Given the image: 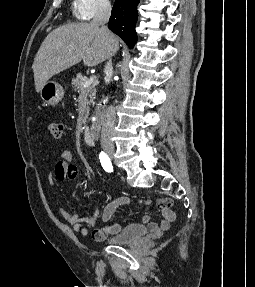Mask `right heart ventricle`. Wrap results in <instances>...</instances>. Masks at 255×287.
<instances>
[{"label":"right heart ventricle","mask_w":255,"mask_h":287,"mask_svg":"<svg viewBox=\"0 0 255 287\" xmlns=\"http://www.w3.org/2000/svg\"><path fill=\"white\" fill-rule=\"evenodd\" d=\"M123 48H131V47H123Z\"/></svg>","instance_id":"1"}]
</instances>
